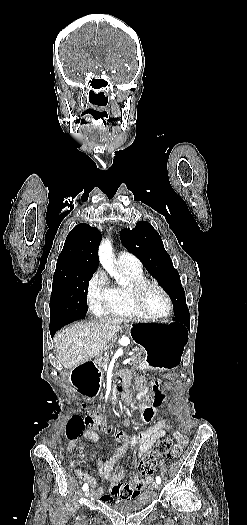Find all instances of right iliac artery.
I'll use <instances>...</instances> for the list:
<instances>
[{
    "label": "right iliac artery",
    "instance_id": "obj_1",
    "mask_svg": "<svg viewBox=\"0 0 247 525\" xmlns=\"http://www.w3.org/2000/svg\"><path fill=\"white\" fill-rule=\"evenodd\" d=\"M82 489H83L84 491L87 490V489H88V484L85 483V484L83 485Z\"/></svg>",
    "mask_w": 247,
    "mask_h": 525
}]
</instances>
